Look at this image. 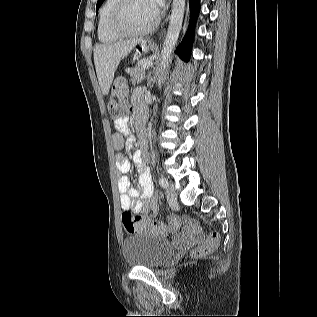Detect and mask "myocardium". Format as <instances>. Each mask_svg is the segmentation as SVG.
I'll use <instances>...</instances> for the list:
<instances>
[{"mask_svg":"<svg viewBox=\"0 0 317 317\" xmlns=\"http://www.w3.org/2000/svg\"><path fill=\"white\" fill-rule=\"evenodd\" d=\"M130 0H118L115 5L111 18H110V28L111 30L121 36V37H134V36H143L152 32L158 25L160 21V12L158 11L153 22L147 27L141 30H131L124 26L123 24V15L126 10V7Z\"/></svg>","mask_w":317,"mask_h":317,"instance_id":"f54148a6","label":"myocardium"}]
</instances>
